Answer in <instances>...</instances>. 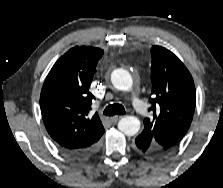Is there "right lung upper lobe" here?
Listing matches in <instances>:
<instances>
[{
	"instance_id": "obj_1",
	"label": "right lung upper lobe",
	"mask_w": 223,
	"mask_h": 188,
	"mask_svg": "<svg viewBox=\"0 0 223 188\" xmlns=\"http://www.w3.org/2000/svg\"><path fill=\"white\" fill-rule=\"evenodd\" d=\"M103 53L95 47H73L59 58L45 79L41 114L49 135L61 147L86 148L104 133L98 113L89 114L94 98L89 86Z\"/></svg>"
}]
</instances>
